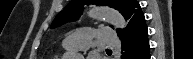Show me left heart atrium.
Returning <instances> with one entry per match:
<instances>
[{
	"instance_id": "obj_1",
	"label": "left heart atrium",
	"mask_w": 193,
	"mask_h": 59,
	"mask_svg": "<svg viewBox=\"0 0 193 59\" xmlns=\"http://www.w3.org/2000/svg\"><path fill=\"white\" fill-rule=\"evenodd\" d=\"M88 59H98L96 54H91Z\"/></svg>"
}]
</instances>
